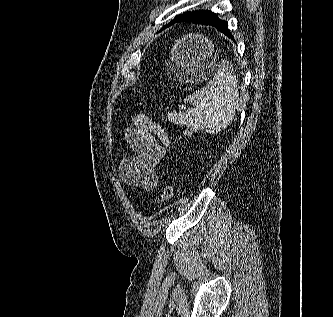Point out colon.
I'll use <instances>...</instances> for the list:
<instances>
[{"instance_id":"colon-1","label":"colon","mask_w":333,"mask_h":317,"mask_svg":"<svg viewBox=\"0 0 333 317\" xmlns=\"http://www.w3.org/2000/svg\"><path fill=\"white\" fill-rule=\"evenodd\" d=\"M194 133V128L192 126H188L184 129V135L191 136ZM174 193V188L170 183L163 184L160 192L157 196L156 202L157 204H163L169 201Z\"/></svg>"}]
</instances>
